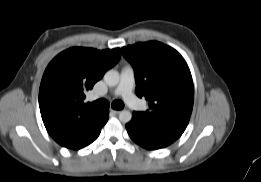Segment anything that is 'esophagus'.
Segmentation results:
<instances>
[{
	"label": "esophagus",
	"instance_id": "esophagus-1",
	"mask_svg": "<svg viewBox=\"0 0 261 182\" xmlns=\"http://www.w3.org/2000/svg\"><path fill=\"white\" fill-rule=\"evenodd\" d=\"M110 112L113 113V114H119L120 110L110 109Z\"/></svg>",
	"mask_w": 261,
	"mask_h": 182
}]
</instances>
